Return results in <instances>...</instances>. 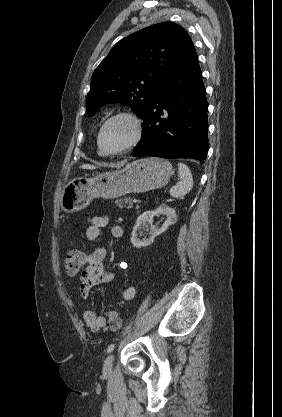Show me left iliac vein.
Listing matches in <instances>:
<instances>
[{
  "mask_svg": "<svg viewBox=\"0 0 282 417\" xmlns=\"http://www.w3.org/2000/svg\"><path fill=\"white\" fill-rule=\"evenodd\" d=\"M113 361H114V355L110 354L107 356V358L104 361L103 364V373L104 374H110L111 370H112V366H113Z\"/></svg>",
  "mask_w": 282,
  "mask_h": 417,
  "instance_id": "left-iliac-vein-1",
  "label": "left iliac vein"
}]
</instances>
